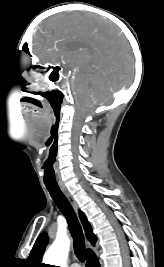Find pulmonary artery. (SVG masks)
Segmentation results:
<instances>
[{
  "instance_id": "1",
  "label": "pulmonary artery",
  "mask_w": 164,
  "mask_h": 267,
  "mask_svg": "<svg viewBox=\"0 0 164 267\" xmlns=\"http://www.w3.org/2000/svg\"><path fill=\"white\" fill-rule=\"evenodd\" d=\"M70 267H80V265L78 263H74Z\"/></svg>"
}]
</instances>
